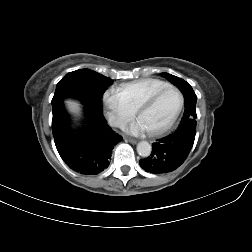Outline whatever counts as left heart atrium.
Instances as JSON below:
<instances>
[{"label": "left heart atrium", "instance_id": "1", "mask_svg": "<svg viewBox=\"0 0 252 252\" xmlns=\"http://www.w3.org/2000/svg\"><path fill=\"white\" fill-rule=\"evenodd\" d=\"M145 130H147V129L144 126V124L141 122L140 119H137V120L133 121L127 127V131L132 133V134H139V133L144 132Z\"/></svg>", "mask_w": 252, "mask_h": 252}]
</instances>
